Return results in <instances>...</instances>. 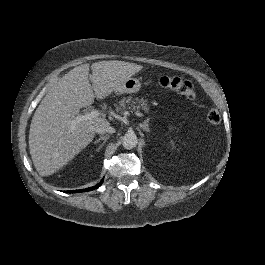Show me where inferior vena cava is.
Wrapping results in <instances>:
<instances>
[{
	"label": "inferior vena cava",
	"mask_w": 265,
	"mask_h": 265,
	"mask_svg": "<svg viewBox=\"0 0 265 265\" xmlns=\"http://www.w3.org/2000/svg\"><path fill=\"white\" fill-rule=\"evenodd\" d=\"M95 131L98 132V133H105V132L115 133L116 129L111 127L109 125V123H103V124H100L99 126H97Z\"/></svg>",
	"instance_id": "inferior-vena-cava-1"
}]
</instances>
